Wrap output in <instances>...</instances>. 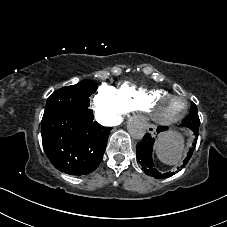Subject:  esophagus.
Listing matches in <instances>:
<instances>
[{
    "label": "esophagus",
    "instance_id": "obj_1",
    "mask_svg": "<svg viewBox=\"0 0 227 227\" xmlns=\"http://www.w3.org/2000/svg\"><path fill=\"white\" fill-rule=\"evenodd\" d=\"M147 130H148V132L153 133V132H155L156 127H155V125L150 124V125H148Z\"/></svg>",
    "mask_w": 227,
    "mask_h": 227
}]
</instances>
